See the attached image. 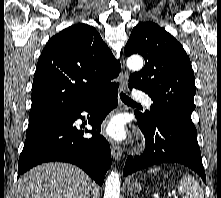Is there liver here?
Returning a JSON list of instances; mask_svg holds the SVG:
<instances>
[{
  "label": "liver",
  "mask_w": 221,
  "mask_h": 198,
  "mask_svg": "<svg viewBox=\"0 0 221 198\" xmlns=\"http://www.w3.org/2000/svg\"><path fill=\"white\" fill-rule=\"evenodd\" d=\"M90 177L68 163H45L23 175L12 198H90Z\"/></svg>",
  "instance_id": "6515ba94"
}]
</instances>
